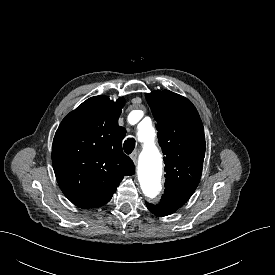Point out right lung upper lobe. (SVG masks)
I'll return each instance as SVG.
<instances>
[{
    "label": "right lung upper lobe",
    "mask_w": 275,
    "mask_h": 275,
    "mask_svg": "<svg viewBox=\"0 0 275 275\" xmlns=\"http://www.w3.org/2000/svg\"><path fill=\"white\" fill-rule=\"evenodd\" d=\"M124 100L91 97L69 113L53 140L52 162L64 195L76 206L100 207L112 198L133 161L122 151L125 128L118 125Z\"/></svg>",
    "instance_id": "cb5924a9"
}]
</instances>
